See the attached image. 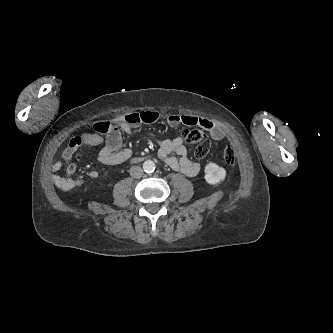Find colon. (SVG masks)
Instances as JSON below:
<instances>
[{"label": "colon", "mask_w": 333, "mask_h": 333, "mask_svg": "<svg viewBox=\"0 0 333 333\" xmlns=\"http://www.w3.org/2000/svg\"><path fill=\"white\" fill-rule=\"evenodd\" d=\"M94 130L100 135H108L115 130V124L109 120L97 121L94 124ZM183 141L188 144H197L194 152L197 159H203L208 155L210 140L204 131L200 129L188 131L184 134ZM222 157L227 165L234 166L236 164V153L231 146H227L223 150Z\"/></svg>", "instance_id": "colon-1"}]
</instances>
